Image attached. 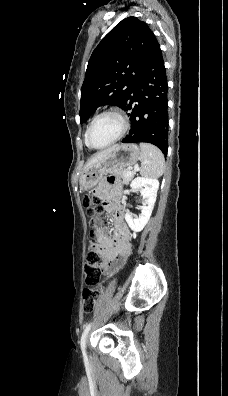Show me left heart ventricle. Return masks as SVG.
Masks as SVG:
<instances>
[{
    "instance_id": "obj_1",
    "label": "left heart ventricle",
    "mask_w": 228,
    "mask_h": 396,
    "mask_svg": "<svg viewBox=\"0 0 228 396\" xmlns=\"http://www.w3.org/2000/svg\"><path fill=\"white\" fill-rule=\"evenodd\" d=\"M120 130L121 123L116 116H103L94 124L90 134V142L96 147L104 146L111 142Z\"/></svg>"
}]
</instances>
